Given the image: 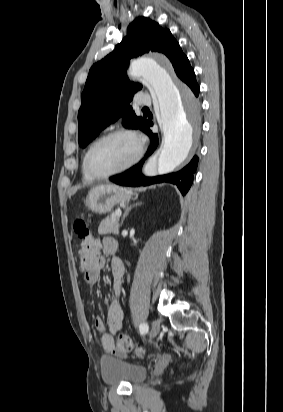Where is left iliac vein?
Returning a JSON list of instances; mask_svg holds the SVG:
<instances>
[{
    "instance_id": "obj_1",
    "label": "left iliac vein",
    "mask_w": 283,
    "mask_h": 412,
    "mask_svg": "<svg viewBox=\"0 0 283 412\" xmlns=\"http://www.w3.org/2000/svg\"><path fill=\"white\" fill-rule=\"evenodd\" d=\"M159 331H160V321H159V320H155V321L152 323V327H151V330H150V338H154L155 336H157V334L159 333Z\"/></svg>"
}]
</instances>
